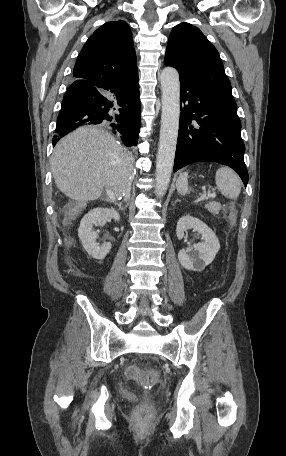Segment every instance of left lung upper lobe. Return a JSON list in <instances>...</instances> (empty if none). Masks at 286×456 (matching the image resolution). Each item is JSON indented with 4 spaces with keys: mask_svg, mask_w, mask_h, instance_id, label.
<instances>
[{
    "mask_svg": "<svg viewBox=\"0 0 286 456\" xmlns=\"http://www.w3.org/2000/svg\"><path fill=\"white\" fill-rule=\"evenodd\" d=\"M164 63L176 68L180 77L205 85L235 101L219 53L199 28L189 23L176 25L169 36Z\"/></svg>",
    "mask_w": 286,
    "mask_h": 456,
    "instance_id": "left-lung-upper-lobe-1",
    "label": "left lung upper lobe"
}]
</instances>
